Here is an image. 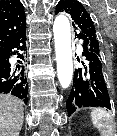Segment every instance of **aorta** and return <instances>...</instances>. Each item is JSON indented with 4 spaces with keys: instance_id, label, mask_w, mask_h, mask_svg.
Returning <instances> with one entry per match:
<instances>
[{
    "instance_id": "aorta-1",
    "label": "aorta",
    "mask_w": 117,
    "mask_h": 136,
    "mask_svg": "<svg viewBox=\"0 0 117 136\" xmlns=\"http://www.w3.org/2000/svg\"><path fill=\"white\" fill-rule=\"evenodd\" d=\"M55 52L57 61V76L62 88L70 86L73 77V62L71 49V30L69 19L58 15L53 24Z\"/></svg>"
}]
</instances>
